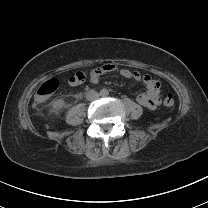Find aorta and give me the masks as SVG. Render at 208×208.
<instances>
[{
  "mask_svg": "<svg viewBox=\"0 0 208 208\" xmlns=\"http://www.w3.org/2000/svg\"><path fill=\"white\" fill-rule=\"evenodd\" d=\"M100 95L103 99H108L111 95V92H110L109 89L104 88V89L101 90Z\"/></svg>",
  "mask_w": 208,
  "mask_h": 208,
  "instance_id": "1",
  "label": "aorta"
}]
</instances>
